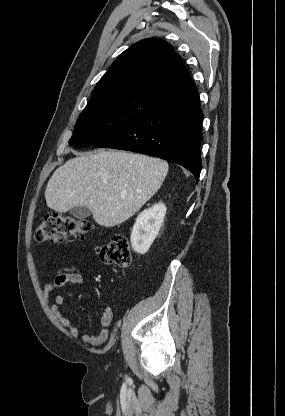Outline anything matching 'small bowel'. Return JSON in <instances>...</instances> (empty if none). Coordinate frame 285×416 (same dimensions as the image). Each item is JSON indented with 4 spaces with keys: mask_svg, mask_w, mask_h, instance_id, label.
<instances>
[{
    "mask_svg": "<svg viewBox=\"0 0 285 416\" xmlns=\"http://www.w3.org/2000/svg\"><path fill=\"white\" fill-rule=\"evenodd\" d=\"M82 285L84 278L82 269L77 266H65L57 270L44 286V297L49 303L54 300V303L50 306L51 314L57 323L65 328L69 335L73 338L80 337L84 343H90L92 345H101L109 337L110 327L113 321V311L111 307H106L103 311L100 319L101 329L94 335L81 334L79 329L72 324L70 319L63 315L61 312V306L64 305L66 298L62 294L54 295L55 291L64 286L65 284Z\"/></svg>",
    "mask_w": 285,
    "mask_h": 416,
    "instance_id": "1",
    "label": "small bowel"
}]
</instances>
